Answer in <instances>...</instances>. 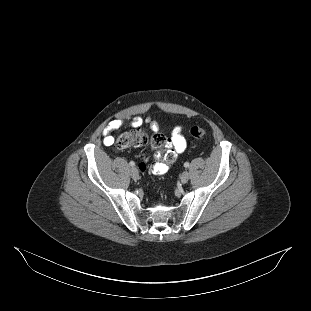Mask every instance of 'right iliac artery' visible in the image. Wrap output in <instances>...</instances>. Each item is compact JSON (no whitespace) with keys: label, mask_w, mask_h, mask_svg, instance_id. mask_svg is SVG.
Returning <instances> with one entry per match:
<instances>
[{"label":"right iliac artery","mask_w":311,"mask_h":311,"mask_svg":"<svg viewBox=\"0 0 311 311\" xmlns=\"http://www.w3.org/2000/svg\"><path fill=\"white\" fill-rule=\"evenodd\" d=\"M130 166L134 167L135 166V163L133 161H130Z\"/></svg>","instance_id":"right-iliac-artery-1"}]
</instances>
